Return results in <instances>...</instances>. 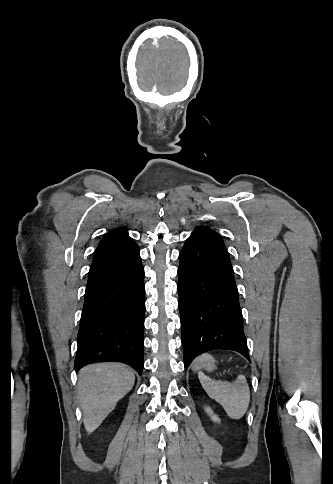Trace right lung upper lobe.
<instances>
[{"mask_svg":"<svg viewBox=\"0 0 333 484\" xmlns=\"http://www.w3.org/2000/svg\"><path fill=\"white\" fill-rule=\"evenodd\" d=\"M136 243L129 237L125 228H117L107 233L100 241L94 255L129 248Z\"/></svg>","mask_w":333,"mask_h":484,"instance_id":"1","label":"right lung upper lobe"}]
</instances>
